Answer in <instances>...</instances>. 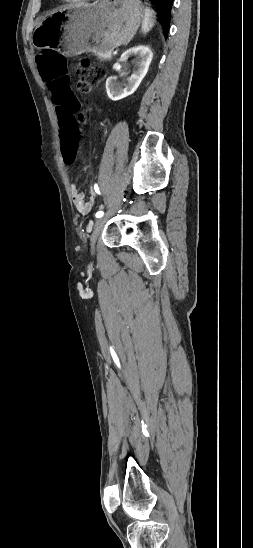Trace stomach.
Instances as JSON below:
<instances>
[{
    "instance_id": "stomach-1",
    "label": "stomach",
    "mask_w": 253,
    "mask_h": 548,
    "mask_svg": "<svg viewBox=\"0 0 253 548\" xmlns=\"http://www.w3.org/2000/svg\"><path fill=\"white\" fill-rule=\"evenodd\" d=\"M144 17L139 0H96L68 5L46 19L33 34L38 47L56 45L66 56L111 52L128 44Z\"/></svg>"
}]
</instances>
